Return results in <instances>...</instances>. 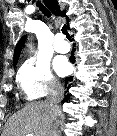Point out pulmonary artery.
<instances>
[{
	"label": "pulmonary artery",
	"mask_w": 117,
	"mask_h": 136,
	"mask_svg": "<svg viewBox=\"0 0 117 136\" xmlns=\"http://www.w3.org/2000/svg\"><path fill=\"white\" fill-rule=\"evenodd\" d=\"M54 50L58 53H67L69 51V44L57 37L54 41Z\"/></svg>",
	"instance_id": "1"
}]
</instances>
